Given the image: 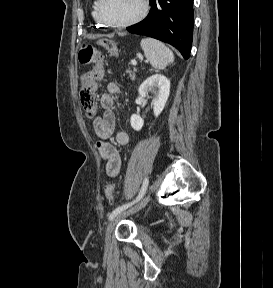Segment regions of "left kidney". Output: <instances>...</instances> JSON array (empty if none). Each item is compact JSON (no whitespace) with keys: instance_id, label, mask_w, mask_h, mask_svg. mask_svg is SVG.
<instances>
[{"instance_id":"obj_1","label":"left kidney","mask_w":273,"mask_h":288,"mask_svg":"<svg viewBox=\"0 0 273 288\" xmlns=\"http://www.w3.org/2000/svg\"><path fill=\"white\" fill-rule=\"evenodd\" d=\"M149 93H153L152 105L154 116L158 117L163 111L170 94V81L161 74H155L147 78L139 87L141 97H148ZM131 127L140 131L144 125L143 119L133 114L131 116Z\"/></svg>"}]
</instances>
